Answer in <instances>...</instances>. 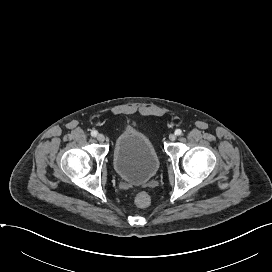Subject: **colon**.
Returning <instances> with one entry per match:
<instances>
[{
	"label": "colon",
	"instance_id": "1",
	"mask_svg": "<svg viewBox=\"0 0 272 272\" xmlns=\"http://www.w3.org/2000/svg\"><path fill=\"white\" fill-rule=\"evenodd\" d=\"M134 202L138 207H147L150 204V197L145 192H139L136 194Z\"/></svg>",
	"mask_w": 272,
	"mask_h": 272
}]
</instances>
